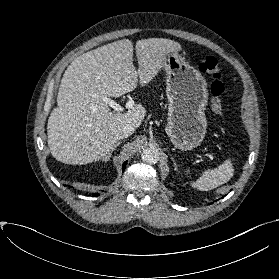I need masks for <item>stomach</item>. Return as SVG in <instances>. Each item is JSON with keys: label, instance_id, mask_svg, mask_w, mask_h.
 <instances>
[{"label": "stomach", "instance_id": "obj_1", "mask_svg": "<svg viewBox=\"0 0 279 279\" xmlns=\"http://www.w3.org/2000/svg\"><path fill=\"white\" fill-rule=\"evenodd\" d=\"M163 68L167 75V134L175 147L191 150L206 134L207 82L178 52L166 55Z\"/></svg>", "mask_w": 279, "mask_h": 279}]
</instances>
